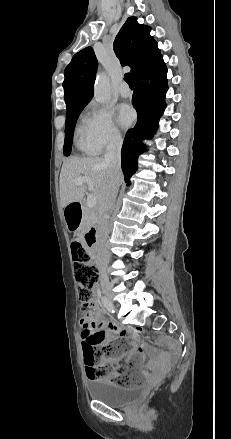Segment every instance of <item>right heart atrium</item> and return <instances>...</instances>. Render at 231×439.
<instances>
[{"label":"right heart atrium","mask_w":231,"mask_h":439,"mask_svg":"<svg viewBox=\"0 0 231 439\" xmlns=\"http://www.w3.org/2000/svg\"><path fill=\"white\" fill-rule=\"evenodd\" d=\"M83 124L85 138L97 153L119 146L122 142L112 112L105 107L90 103L85 110Z\"/></svg>","instance_id":"1"}]
</instances>
